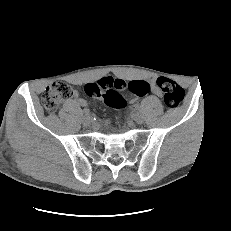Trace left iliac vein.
<instances>
[{
  "label": "left iliac vein",
  "mask_w": 231,
  "mask_h": 231,
  "mask_svg": "<svg viewBox=\"0 0 231 231\" xmlns=\"http://www.w3.org/2000/svg\"><path fill=\"white\" fill-rule=\"evenodd\" d=\"M134 120L136 121V123L142 124V123L144 122V117H143L142 114L137 113V114H135V116H134Z\"/></svg>",
  "instance_id": "4c4485c4"
}]
</instances>
